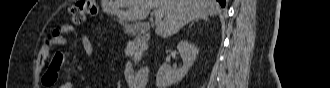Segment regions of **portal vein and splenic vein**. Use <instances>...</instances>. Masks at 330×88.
Instances as JSON below:
<instances>
[{
	"mask_svg": "<svg viewBox=\"0 0 330 88\" xmlns=\"http://www.w3.org/2000/svg\"><path fill=\"white\" fill-rule=\"evenodd\" d=\"M154 15H155V18H156V23L159 24L163 18V15H164V12L161 11V10H158L156 9L154 11Z\"/></svg>",
	"mask_w": 330,
	"mask_h": 88,
	"instance_id": "1",
	"label": "portal vein and splenic vein"
}]
</instances>
